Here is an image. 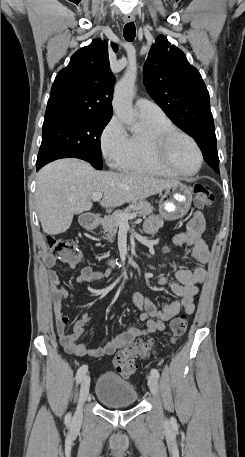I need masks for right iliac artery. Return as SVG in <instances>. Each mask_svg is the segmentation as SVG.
Here are the masks:
<instances>
[{
	"label": "right iliac artery",
	"instance_id": "82829eb1",
	"mask_svg": "<svg viewBox=\"0 0 245 457\" xmlns=\"http://www.w3.org/2000/svg\"><path fill=\"white\" fill-rule=\"evenodd\" d=\"M87 370H88V366H87V365H82V366L78 369L77 374H76V381H77V383H80V382H81V380H82V378L84 377V375L86 374ZM66 420H67L66 422L70 421V415H68V416L66 417Z\"/></svg>",
	"mask_w": 245,
	"mask_h": 457
}]
</instances>
